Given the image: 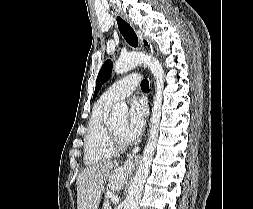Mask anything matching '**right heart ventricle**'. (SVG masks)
<instances>
[{
  "label": "right heart ventricle",
  "mask_w": 253,
  "mask_h": 209,
  "mask_svg": "<svg viewBox=\"0 0 253 209\" xmlns=\"http://www.w3.org/2000/svg\"><path fill=\"white\" fill-rule=\"evenodd\" d=\"M110 104L99 99L92 111L84 139V162L88 166L109 161L116 156L105 118Z\"/></svg>",
  "instance_id": "e07e8e85"
}]
</instances>
